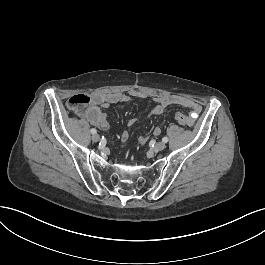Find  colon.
I'll return each instance as SVG.
<instances>
[{"instance_id":"obj_1","label":"colon","mask_w":265,"mask_h":265,"mask_svg":"<svg viewBox=\"0 0 265 265\" xmlns=\"http://www.w3.org/2000/svg\"><path fill=\"white\" fill-rule=\"evenodd\" d=\"M96 94L94 92L79 93L77 96H69L64 99V106L71 110H79L82 106H87L89 103H94L96 101ZM177 121L181 125H189L191 119L182 113H178L176 116Z\"/></svg>"}]
</instances>
